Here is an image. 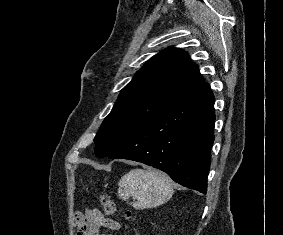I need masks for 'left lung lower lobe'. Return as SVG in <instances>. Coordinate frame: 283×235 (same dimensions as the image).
I'll return each instance as SVG.
<instances>
[{"mask_svg":"<svg viewBox=\"0 0 283 235\" xmlns=\"http://www.w3.org/2000/svg\"><path fill=\"white\" fill-rule=\"evenodd\" d=\"M214 122V96L205 83L148 123L109 158L142 162L164 171L182 186L206 193Z\"/></svg>","mask_w":283,"mask_h":235,"instance_id":"left-lung-lower-lobe-1","label":"left lung lower lobe"}]
</instances>
